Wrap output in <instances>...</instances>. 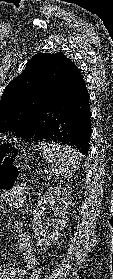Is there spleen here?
I'll use <instances>...</instances> for the list:
<instances>
[{
  "label": "spleen",
  "instance_id": "1",
  "mask_svg": "<svg viewBox=\"0 0 113 279\" xmlns=\"http://www.w3.org/2000/svg\"><path fill=\"white\" fill-rule=\"evenodd\" d=\"M36 146L47 162L52 163L62 176H71L79 169L82 155L76 149L68 145L44 141L38 142Z\"/></svg>",
  "mask_w": 113,
  "mask_h": 279
}]
</instances>
